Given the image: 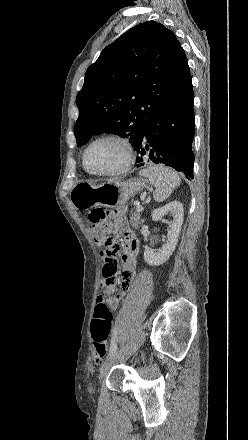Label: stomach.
<instances>
[{
  "mask_svg": "<svg viewBox=\"0 0 248 440\" xmlns=\"http://www.w3.org/2000/svg\"><path fill=\"white\" fill-rule=\"evenodd\" d=\"M144 184L139 179L126 182H108L102 185L77 183L70 191V201L78 209L94 206L114 208L124 205L133 195L142 191Z\"/></svg>",
  "mask_w": 248,
  "mask_h": 440,
  "instance_id": "1",
  "label": "stomach"
}]
</instances>
